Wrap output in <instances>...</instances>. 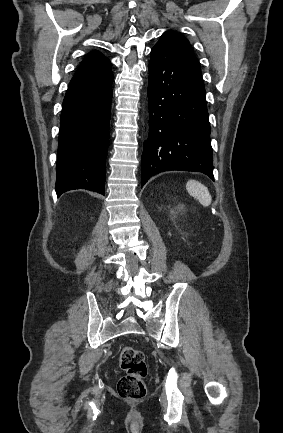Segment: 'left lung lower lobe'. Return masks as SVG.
Segmentation results:
<instances>
[{
  "mask_svg": "<svg viewBox=\"0 0 283 433\" xmlns=\"http://www.w3.org/2000/svg\"><path fill=\"white\" fill-rule=\"evenodd\" d=\"M149 137L142 154L141 187L170 170L202 172L212 180L210 124L196 57L153 47L149 63Z\"/></svg>",
  "mask_w": 283,
  "mask_h": 433,
  "instance_id": "1",
  "label": "left lung lower lobe"
}]
</instances>
